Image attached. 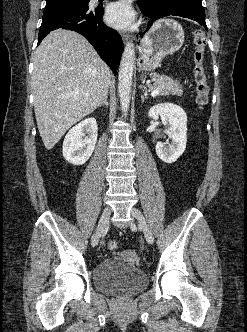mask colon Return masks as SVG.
<instances>
[{
	"label": "colon",
	"mask_w": 247,
	"mask_h": 332,
	"mask_svg": "<svg viewBox=\"0 0 247 332\" xmlns=\"http://www.w3.org/2000/svg\"><path fill=\"white\" fill-rule=\"evenodd\" d=\"M193 42L195 45L193 53V76L195 84V102L199 108H204L208 103L209 86L207 77L203 66L205 58L206 35L202 30L193 31ZM109 250H116L118 243L115 240H110L107 243Z\"/></svg>",
	"instance_id": "1"
}]
</instances>
